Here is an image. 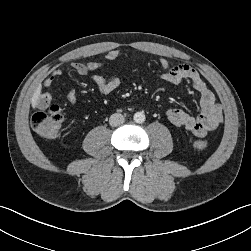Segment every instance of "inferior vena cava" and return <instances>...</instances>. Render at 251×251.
I'll list each match as a JSON object with an SVG mask.
<instances>
[{"label":"inferior vena cava","mask_w":251,"mask_h":251,"mask_svg":"<svg viewBox=\"0 0 251 251\" xmlns=\"http://www.w3.org/2000/svg\"><path fill=\"white\" fill-rule=\"evenodd\" d=\"M125 122V118L122 114L115 113L110 116L109 124L113 127L119 126Z\"/></svg>","instance_id":"obj_1"}]
</instances>
